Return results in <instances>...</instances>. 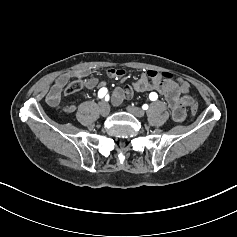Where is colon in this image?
Here are the masks:
<instances>
[{
    "instance_id": "colon-1",
    "label": "colon",
    "mask_w": 237,
    "mask_h": 237,
    "mask_svg": "<svg viewBox=\"0 0 237 237\" xmlns=\"http://www.w3.org/2000/svg\"><path fill=\"white\" fill-rule=\"evenodd\" d=\"M161 76L163 78H172L171 74H167V73H161ZM83 87V82L80 80H74L71 83L68 84V86L66 87V93L67 94H72L75 93L77 91H79L81 88ZM190 111L192 115H196L198 112V105L195 101H193L191 103L190 106Z\"/></svg>"
}]
</instances>
